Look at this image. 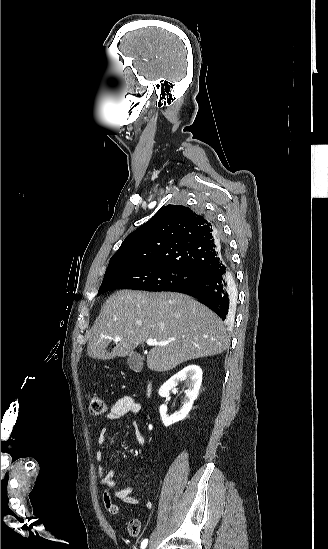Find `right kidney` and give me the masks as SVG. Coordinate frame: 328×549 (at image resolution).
Wrapping results in <instances>:
<instances>
[{"label": "right kidney", "mask_w": 328, "mask_h": 549, "mask_svg": "<svg viewBox=\"0 0 328 549\" xmlns=\"http://www.w3.org/2000/svg\"><path fill=\"white\" fill-rule=\"evenodd\" d=\"M179 381H185L188 389L184 391L185 397L183 401V407L178 413H174L171 417H167V405H161L160 415L161 421L164 423L165 427L177 423V421H182L187 417L195 399L198 397L199 389L202 383V371L198 365H188L176 375H173L169 381H166L162 387L159 389L160 397H169L171 389L177 387Z\"/></svg>", "instance_id": "right-kidney-1"}]
</instances>
